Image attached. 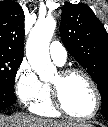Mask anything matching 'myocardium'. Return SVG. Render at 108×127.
Wrapping results in <instances>:
<instances>
[{"mask_svg":"<svg viewBox=\"0 0 108 127\" xmlns=\"http://www.w3.org/2000/svg\"><path fill=\"white\" fill-rule=\"evenodd\" d=\"M73 74H78L83 76L86 81L89 83L91 86L94 96H95V106L93 111L85 116H78L73 113H71L64 105L63 99H62V91H61V85L64 80H66L69 76ZM51 88V95H52V102L55 107V109L70 118L73 119H78V120H89L93 118L99 111L100 105H101V95L98 89L97 84L95 83L94 79L84 70L80 68H75V67H69V68H64L61 69L58 72V81L57 82H51L50 84Z\"/></svg>","mask_w":108,"mask_h":127,"instance_id":"1","label":"myocardium"}]
</instances>
